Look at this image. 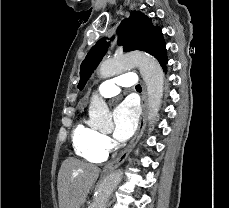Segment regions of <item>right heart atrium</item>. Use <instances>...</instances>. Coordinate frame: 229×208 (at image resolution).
I'll list each match as a JSON object with an SVG mask.
<instances>
[{
    "mask_svg": "<svg viewBox=\"0 0 229 208\" xmlns=\"http://www.w3.org/2000/svg\"><path fill=\"white\" fill-rule=\"evenodd\" d=\"M97 146L101 152L109 153L114 147V142L109 136L105 134H100Z\"/></svg>",
    "mask_w": 229,
    "mask_h": 208,
    "instance_id": "d8ad5b80",
    "label": "right heart atrium"
}]
</instances>
